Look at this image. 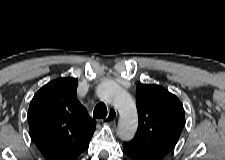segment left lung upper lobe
Masks as SVG:
<instances>
[{"mask_svg":"<svg viewBox=\"0 0 225 160\" xmlns=\"http://www.w3.org/2000/svg\"><path fill=\"white\" fill-rule=\"evenodd\" d=\"M136 100L138 129L124 145L147 160H162L174 149L182 132L183 106L174 94L158 85L137 86Z\"/></svg>","mask_w":225,"mask_h":160,"instance_id":"obj_1","label":"left lung upper lobe"}]
</instances>
